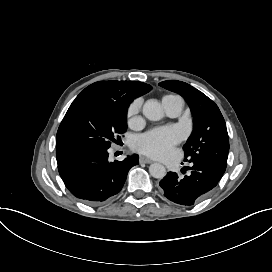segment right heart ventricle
Instances as JSON below:
<instances>
[{
    "label": "right heart ventricle",
    "mask_w": 272,
    "mask_h": 272,
    "mask_svg": "<svg viewBox=\"0 0 272 272\" xmlns=\"http://www.w3.org/2000/svg\"><path fill=\"white\" fill-rule=\"evenodd\" d=\"M172 96H173V95L166 96V97H164V99L170 98V97H172ZM162 106H163L164 111L168 114L167 106H166V104H165L163 101H162ZM168 115H169V114H168ZM171 128L174 130L175 128H177V125H173ZM174 131H175V130H174Z\"/></svg>",
    "instance_id": "right-heart-ventricle-1"
}]
</instances>
